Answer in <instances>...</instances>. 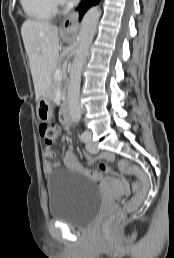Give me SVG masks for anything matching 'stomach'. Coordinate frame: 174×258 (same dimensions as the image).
Returning a JSON list of instances; mask_svg holds the SVG:
<instances>
[{"label": "stomach", "instance_id": "0dacf381", "mask_svg": "<svg viewBox=\"0 0 174 258\" xmlns=\"http://www.w3.org/2000/svg\"><path fill=\"white\" fill-rule=\"evenodd\" d=\"M37 116L41 121H48L53 114L50 88L37 101Z\"/></svg>", "mask_w": 174, "mask_h": 258}]
</instances>
